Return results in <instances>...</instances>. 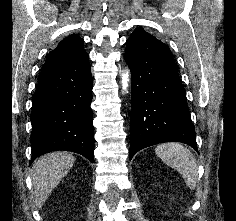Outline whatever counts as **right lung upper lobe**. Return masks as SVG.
<instances>
[{"label":"right lung upper lobe","mask_w":236,"mask_h":221,"mask_svg":"<svg viewBox=\"0 0 236 221\" xmlns=\"http://www.w3.org/2000/svg\"><path fill=\"white\" fill-rule=\"evenodd\" d=\"M83 42V39L75 34L66 37L49 53L41 72L77 64L87 59Z\"/></svg>","instance_id":"obj_1"}]
</instances>
